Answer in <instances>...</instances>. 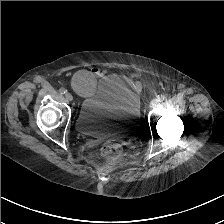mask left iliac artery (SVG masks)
<instances>
[{"label":"left iliac artery","mask_w":224,"mask_h":224,"mask_svg":"<svg viewBox=\"0 0 224 224\" xmlns=\"http://www.w3.org/2000/svg\"><path fill=\"white\" fill-rule=\"evenodd\" d=\"M166 99L164 95H160L157 97L158 102H163Z\"/></svg>","instance_id":"1"}]
</instances>
